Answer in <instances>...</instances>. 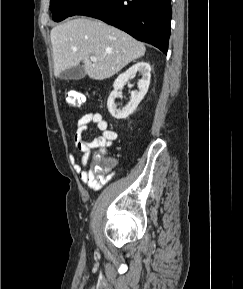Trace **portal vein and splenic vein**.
Listing matches in <instances>:
<instances>
[{
    "label": "portal vein and splenic vein",
    "instance_id": "18ae733b",
    "mask_svg": "<svg viewBox=\"0 0 243 289\" xmlns=\"http://www.w3.org/2000/svg\"><path fill=\"white\" fill-rule=\"evenodd\" d=\"M90 59H91L92 62H96L97 61V58L95 56H91Z\"/></svg>",
    "mask_w": 243,
    "mask_h": 289
}]
</instances>
